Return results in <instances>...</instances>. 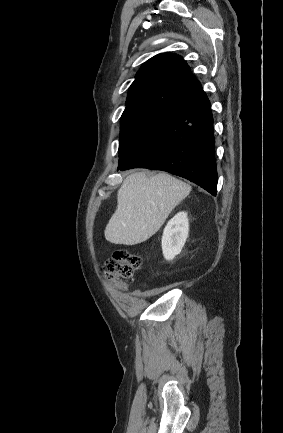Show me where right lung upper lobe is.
I'll return each mask as SVG.
<instances>
[{
    "label": "right lung upper lobe",
    "instance_id": "cb5924a9",
    "mask_svg": "<svg viewBox=\"0 0 283 433\" xmlns=\"http://www.w3.org/2000/svg\"><path fill=\"white\" fill-rule=\"evenodd\" d=\"M202 91L200 82L180 56L158 54L144 63L136 74L129 88L126 109L163 113Z\"/></svg>",
    "mask_w": 283,
    "mask_h": 433
}]
</instances>
